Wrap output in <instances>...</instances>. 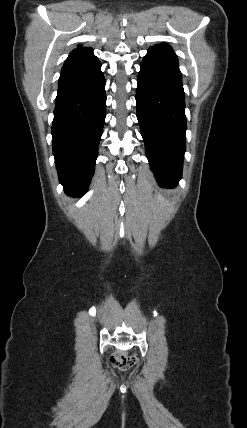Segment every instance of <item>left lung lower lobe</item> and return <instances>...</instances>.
<instances>
[{
	"label": "left lung lower lobe",
	"instance_id": "1",
	"mask_svg": "<svg viewBox=\"0 0 247 428\" xmlns=\"http://www.w3.org/2000/svg\"><path fill=\"white\" fill-rule=\"evenodd\" d=\"M140 67L136 104L146 155L159 185L174 187L182 176L187 129L178 58L151 47Z\"/></svg>",
	"mask_w": 247,
	"mask_h": 428
}]
</instances>
